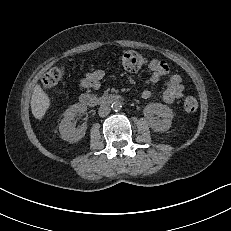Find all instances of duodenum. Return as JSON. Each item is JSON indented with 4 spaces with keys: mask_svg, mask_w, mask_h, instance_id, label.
<instances>
[{
    "mask_svg": "<svg viewBox=\"0 0 231 231\" xmlns=\"http://www.w3.org/2000/svg\"><path fill=\"white\" fill-rule=\"evenodd\" d=\"M121 99L122 97L116 94H106L98 97L92 94L84 93L80 97V102L86 107H95L109 105Z\"/></svg>",
    "mask_w": 231,
    "mask_h": 231,
    "instance_id": "duodenum-1",
    "label": "duodenum"
}]
</instances>
